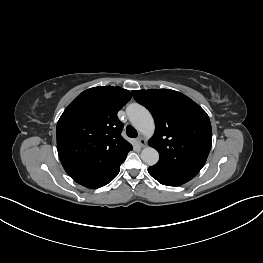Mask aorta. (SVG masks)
I'll return each mask as SVG.
<instances>
[{
  "label": "aorta",
  "instance_id": "obj_1",
  "mask_svg": "<svg viewBox=\"0 0 263 263\" xmlns=\"http://www.w3.org/2000/svg\"><path fill=\"white\" fill-rule=\"evenodd\" d=\"M129 120L133 126L145 136L154 133L155 123L151 113L139 104L127 108ZM141 159L149 166L155 165L159 160V153L153 147H145L141 152Z\"/></svg>",
  "mask_w": 263,
  "mask_h": 263
}]
</instances>
